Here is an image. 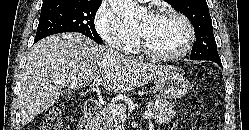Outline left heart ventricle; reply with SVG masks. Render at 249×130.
<instances>
[{"mask_svg": "<svg viewBox=\"0 0 249 130\" xmlns=\"http://www.w3.org/2000/svg\"><path fill=\"white\" fill-rule=\"evenodd\" d=\"M149 47L156 53L169 54L179 50L187 39L185 25L171 16L153 17L150 14L137 25Z\"/></svg>", "mask_w": 249, "mask_h": 130, "instance_id": "left-heart-ventricle-1", "label": "left heart ventricle"}]
</instances>
